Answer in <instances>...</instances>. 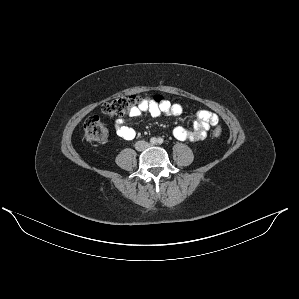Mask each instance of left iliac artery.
Returning a JSON list of instances; mask_svg holds the SVG:
<instances>
[{"mask_svg":"<svg viewBox=\"0 0 299 299\" xmlns=\"http://www.w3.org/2000/svg\"><path fill=\"white\" fill-rule=\"evenodd\" d=\"M158 144H162L164 142L163 138H158L157 140Z\"/></svg>","mask_w":299,"mask_h":299,"instance_id":"obj_1","label":"left iliac artery"}]
</instances>
